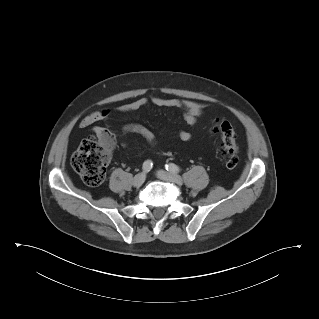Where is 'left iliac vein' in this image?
Instances as JSON below:
<instances>
[{
  "label": "left iliac vein",
  "mask_w": 319,
  "mask_h": 319,
  "mask_svg": "<svg viewBox=\"0 0 319 319\" xmlns=\"http://www.w3.org/2000/svg\"><path fill=\"white\" fill-rule=\"evenodd\" d=\"M157 177L161 180L170 181V182H174L177 184H182V182H183L181 176H179L178 174L173 173V172H166L163 170H159L157 172Z\"/></svg>",
  "instance_id": "1"
}]
</instances>
